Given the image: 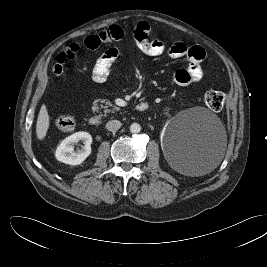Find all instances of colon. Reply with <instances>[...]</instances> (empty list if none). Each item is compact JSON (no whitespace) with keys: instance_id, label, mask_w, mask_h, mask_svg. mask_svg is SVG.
I'll list each match as a JSON object with an SVG mask.
<instances>
[{"instance_id":"1","label":"colon","mask_w":267,"mask_h":267,"mask_svg":"<svg viewBox=\"0 0 267 267\" xmlns=\"http://www.w3.org/2000/svg\"><path fill=\"white\" fill-rule=\"evenodd\" d=\"M204 103L213 111L222 110L225 103V94L221 91L208 90L202 95ZM56 126L59 130L69 132L74 129L75 121L71 116H61L56 119Z\"/></svg>"}]
</instances>
